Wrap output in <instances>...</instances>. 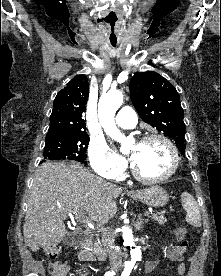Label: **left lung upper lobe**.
<instances>
[{"label": "left lung upper lobe", "mask_w": 221, "mask_h": 276, "mask_svg": "<svg viewBox=\"0 0 221 276\" xmlns=\"http://www.w3.org/2000/svg\"><path fill=\"white\" fill-rule=\"evenodd\" d=\"M130 95L141 119L173 139L184 154V114L172 84L154 71L136 73L130 82Z\"/></svg>", "instance_id": "obj_1"}]
</instances>
